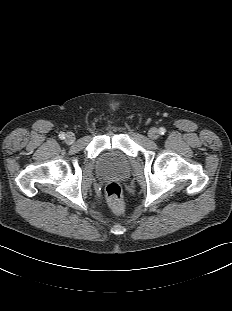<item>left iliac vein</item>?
Listing matches in <instances>:
<instances>
[{
  "label": "left iliac vein",
  "mask_w": 232,
  "mask_h": 311,
  "mask_svg": "<svg viewBox=\"0 0 232 311\" xmlns=\"http://www.w3.org/2000/svg\"><path fill=\"white\" fill-rule=\"evenodd\" d=\"M148 136L152 140H156L159 137V131L156 128H151L148 132Z\"/></svg>",
  "instance_id": "4c4485c4"
}]
</instances>
